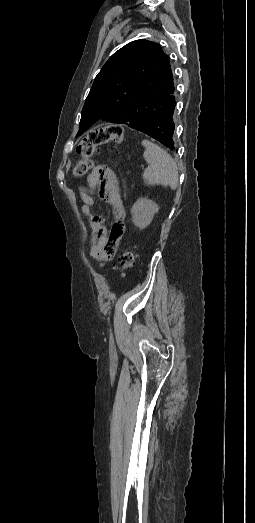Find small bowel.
<instances>
[{
	"label": "small bowel",
	"instance_id": "c3829d8e",
	"mask_svg": "<svg viewBox=\"0 0 255 523\" xmlns=\"http://www.w3.org/2000/svg\"><path fill=\"white\" fill-rule=\"evenodd\" d=\"M98 188L99 196L109 203L113 209L114 222L108 232L104 225V217L92 210L95 200L91 189ZM82 201L81 210L92 227V246L90 257L100 265L111 261L120 244L125 230V207L120 193V187L112 170L104 164L96 166L87 176V186L80 189Z\"/></svg>",
	"mask_w": 255,
	"mask_h": 523
}]
</instances>
